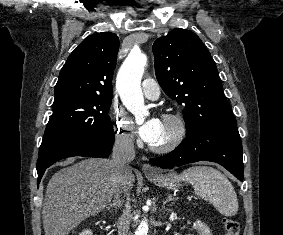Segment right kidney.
I'll use <instances>...</instances> for the list:
<instances>
[{"instance_id": "obj_1", "label": "right kidney", "mask_w": 283, "mask_h": 235, "mask_svg": "<svg viewBox=\"0 0 283 235\" xmlns=\"http://www.w3.org/2000/svg\"><path fill=\"white\" fill-rule=\"evenodd\" d=\"M79 235H93V232L91 230H84Z\"/></svg>"}]
</instances>
